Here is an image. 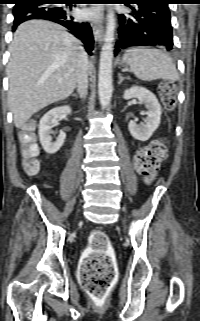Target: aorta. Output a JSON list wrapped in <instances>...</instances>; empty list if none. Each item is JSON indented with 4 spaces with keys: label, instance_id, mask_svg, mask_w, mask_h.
Wrapping results in <instances>:
<instances>
[{
    "label": "aorta",
    "instance_id": "obj_1",
    "mask_svg": "<svg viewBox=\"0 0 200 321\" xmlns=\"http://www.w3.org/2000/svg\"><path fill=\"white\" fill-rule=\"evenodd\" d=\"M115 14L109 9L104 44L100 53L98 92L101 107L106 108L112 96V60L115 36Z\"/></svg>",
    "mask_w": 200,
    "mask_h": 321
}]
</instances>
